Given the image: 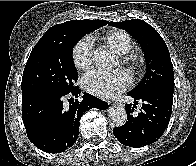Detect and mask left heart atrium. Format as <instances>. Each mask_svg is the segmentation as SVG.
Segmentation results:
<instances>
[{"label": "left heart atrium", "instance_id": "obj_1", "mask_svg": "<svg viewBox=\"0 0 196 166\" xmlns=\"http://www.w3.org/2000/svg\"><path fill=\"white\" fill-rule=\"evenodd\" d=\"M131 76L127 71H104L93 69L87 72L82 78V84L89 93L111 97L130 86Z\"/></svg>", "mask_w": 196, "mask_h": 166}]
</instances>
